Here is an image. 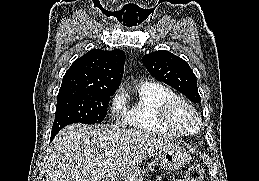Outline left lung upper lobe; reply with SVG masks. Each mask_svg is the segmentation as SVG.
<instances>
[{"label":"left lung upper lobe","mask_w":259,"mask_h":181,"mask_svg":"<svg viewBox=\"0 0 259 181\" xmlns=\"http://www.w3.org/2000/svg\"><path fill=\"white\" fill-rule=\"evenodd\" d=\"M142 62L153 77L181 92L192 102L200 103L196 76L185 60L160 50L143 56Z\"/></svg>","instance_id":"obj_1"}]
</instances>
